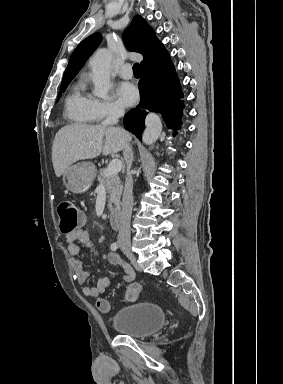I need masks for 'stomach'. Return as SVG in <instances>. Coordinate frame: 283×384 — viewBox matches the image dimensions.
Returning a JSON list of instances; mask_svg holds the SVG:
<instances>
[{"label": "stomach", "mask_w": 283, "mask_h": 384, "mask_svg": "<svg viewBox=\"0 0 283 384\" xmlns=\"http://www.w3.org/2000/svg\"><path fill=\"white\" fill-rule=\"evenodd\" d=\"M96 170L92 162H78L67 168L63 174V184L72 194H84L93 184Z\"/></svg>", "instance_id": "0dacf381"}]
</instances>
